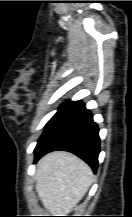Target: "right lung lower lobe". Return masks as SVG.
Segmentation results:
<instances>
[{"mask_svg":"<svg viewBox=\"0 0 132 217\" xmlns=\"http://www.w3.org/2000/svg\"><path fill=\"white\" fill-rule=\"evenodd\" d=\"M98 132L85 105L81 101L72 102L46 127L34 150L35 162L48 152L63 150L76 154L96 172L100 152Z\"/></svg>","mask_w":132,"mask_h":217,"instance_id":"1","label":"right lung lower lobe"}]
</instances>
